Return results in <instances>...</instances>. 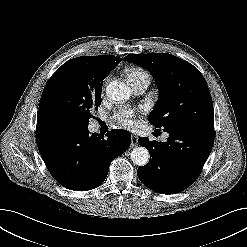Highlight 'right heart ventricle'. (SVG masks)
<instances>
[{"instance_id":"obj_1","label":"right heart ventricle","mask_w":247,"mask_h":247,"mask_svg":"<svg viewBox=\"0 0 247 247\" xmlns=\"http://www.w3.org/2000/svg\"><path fill=\"white\" fill-rule=\"evenodd\" d=\"M126 73L129 79V82L140 76H149V74L143 69L137 67H131L126 69Z\"/></svg>"}]
</instances>
